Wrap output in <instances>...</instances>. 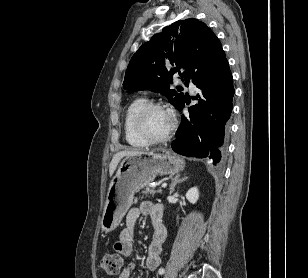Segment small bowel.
<instances>
[{
  "mask_svg": "<svg viewBox=\"0 0 308 278\" xmlns=\"http://www.w3.org/2000/svg\"><path fill=\"white\" fill-rule=\"evenodd\" d=\"M141 215L150 216L154 227L153 239L148 247L146 266L149 270H156L161 263L162 244L167 235L166 228L162 223V205L144 201L139 207L130 209L126 215L125 228L120 232L118 240L114 244V249L119 254L129 258L136 256L134 248L135 227ZM134 268V262H129L123 267L118 278H132Z\"/></svg>",
  "mask_w": 308,
  "mask_h": 278,
  "instance_id": "obj_1",
  "label": "small bowel"
}]
</instances>
